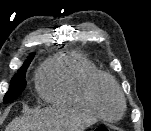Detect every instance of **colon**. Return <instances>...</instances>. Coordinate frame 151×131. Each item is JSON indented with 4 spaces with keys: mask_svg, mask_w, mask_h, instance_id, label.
I'll return each mask as SVG.
<instances>
[{
    "mask_svg": "<svg viewBox=\"0 0 151 131\" xmlns=\"http://www.w3.org/2000/svg\"><path fill=\"white\" fill-rule=\"evenodd\" d=\"M94 131H114V130L107 126H99V127L95 128Z\"/></svg>",
    "mask_w": 151,
    "mask_h": 131,
    "instance_id": "5ec220e1",
    "label": "colon"
}]
</instances>
